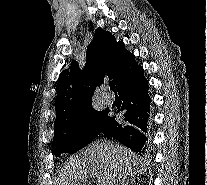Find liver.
Segmentation results:
<instances>
[{
    "label": "liver",
    "instance_id": "obj_1",
    "mask_svg": "<svg viewBox=\"0 0 207 185\" xmlns=\"http://www.w3.org/2000/svg\"><path fill=\"white\" fill-rule=\"evenodd\" d=\"M141 161L131 149L112 143H92L80 155L66 163L63 185H75L85 175L98 177V185H117L119 179L135 177ZM102 169V171H100ZM139 169V171H138Z\"/></svg>",
    "mask_w": 207,
    "mask_h": 185
}]
</instances>
